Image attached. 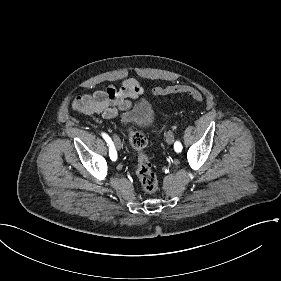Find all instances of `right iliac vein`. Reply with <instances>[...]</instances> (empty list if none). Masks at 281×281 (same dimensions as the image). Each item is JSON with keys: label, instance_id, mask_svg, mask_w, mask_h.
Listing matches in <instances>:
<instances>
[{"label": "right iliac vein", "instance_id": "63e3f726", "mask_svg": "<svg viewBox=\"0 0 281 281\" xmlns=\"http://www.w3.org/2000/svg\"><path fill=\"white\" fill-rule=\"evenodd\" d=\"M115 147L117 150L121 149V141L118 137H114Z\"/></svg>", "mask_w": 281, "mask_h": 281}]
</instances>
